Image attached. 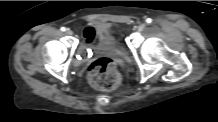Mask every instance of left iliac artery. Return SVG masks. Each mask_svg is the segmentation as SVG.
Returning <instances> with one entry per match:
<instances>
[{
  "instance_id": "44dca946",
  "label": "left iliac artery",
  "mask_w": 218,
  "mask_h": 122,
  "mask_svg": "<svg viewBox=\"0 0 218 122\" xmlns=\"http://www.w3.org/2000/svg\"><path fill=\"white\" fill-rule=\"evenodd\" d=\"M146 22H147L148 24H150V23L152 22V19H151V18H147V19H146Z\"/></svg>"
}]
</instances>
